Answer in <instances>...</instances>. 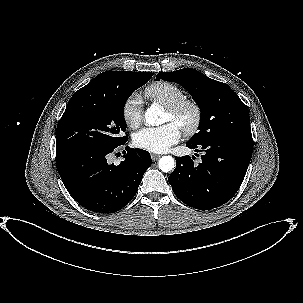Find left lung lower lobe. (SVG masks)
Segmentation results:
<instances>
[{"instance_id": "0a47b994", "label": "left lung lower lobe", "mask_w": 303, "mask_h": 303, "mask_svg": "<svg viewBox=\"0 0 303 303\" xmlns=\"http://www.w3.org/2000/svg\"><path fill=\"white\" fill-rule=\"evenodd\" d=\"M187 147L203 152L197 165L194 157H176V168L168 181L175 195L190 207L209 210L229 201L245 177L253 151V140L226 137Z\"/></svg>"}]
</instances>
